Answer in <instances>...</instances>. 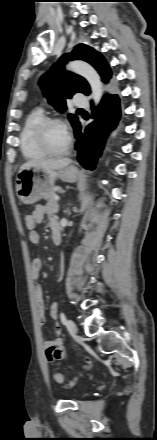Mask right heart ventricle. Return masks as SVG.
Segmentation results:
<instances>
[{
    "mask_svg": "<svg viewBox=\"0 0 157 440\" xmlns=\"http://www.w3.org/2000/svg\"><path fill=\"white\" fill-rule=\"evenodd\" d=\"M45 118L43 111L33 110L30 112L23 123L20 132V148L22 154L27 159H39L46 154L35 144L33 139V132L36 125Z\"/></svg>",
    "mask_w": 157,
    "mask_h": 440,
    "instance_id": "right-heart-ventricle-1",
    "label": "right heart ventricle"
}]
</instances>
